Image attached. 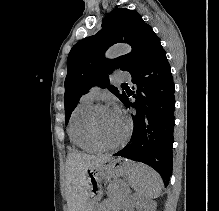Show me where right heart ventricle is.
<instances>
[{
    "instance_id": "1",
    "label": "right heart ventricle",
    "mask_w": 219,
    "mask_h": 211,
    "mask_svg": "<svg viewBox=\"0 0 219 211\" xmlns=\"http://www.w3.org/2000/svg\"><path fill=\"white\" fill-rule=\"evenodd\" d=\"M93 104L81 99L71 112L68 134L72 143L88 152H97L103 149L90 136L87 128V117Z\"/></svg>"
}]
</instances>
